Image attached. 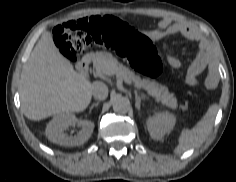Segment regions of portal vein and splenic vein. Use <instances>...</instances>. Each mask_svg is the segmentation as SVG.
Masks as SVG:
<instances>
[{"label":"portal vein and splenic vein","instance_id":"18ae733b","mask_svg":"<svg viewBox=\"0 0 236 182\" xmlns=\"http://www.w3.org/2000/svg\"><path fill=\"white\" fill-rule=\"evenodd\" d=\"M123 79H124V81H125L127 84H129V85L132 84V81H131L129 78L124 77Z\"/></svg>","mask_w":236,"mask_h":182}]
</instances>
